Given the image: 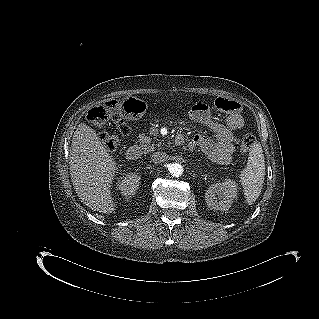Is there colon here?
<instances>
[{"instance_id": "5ec220e1", "label": "colon", "mask_w": 319, "mask_h": 319, "mask_svg": "<svg viewBox=\"0 0 319 319\" xmlns=\"http://www.w3.org/2000/svg\"><path fill=\"white\" fill-rule=\"evenodd\" d=\"M214 106L219 110L227 112H237L241 108L239 103L226 98L216 99ZM145 110V103L138 99L127 98L122 101L110 100L90 108L86 114V118L95 126H102L109 119H113L119 125L121 133L127 134L129 127L124 122L123 117L135 118L142 115ZM101 139L104 145L110 150H114L119 144V137L115 134L104 133ZM253 143L254 138L252 136L246 135L243 137L239 146L240 152H247Z\"/></svg>"}]
</instances>
